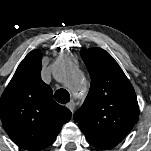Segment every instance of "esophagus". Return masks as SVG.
Returning <instances> with one entry per match:
<instances>
[{
    "label": "esophagus",
    "mask_w": 151,
    "mask_h": 151,
    "mask_svg": "<svg viewBox=\"0 0 151 151\" xmlns=\"http://www.w3.org/2000/svg\"><path fill=\"white\" fill-rule=\"evenodd\" d=\"M67 107L69 108V110L73 113L74 109H75V103L74 101H71L67 104Z\"/></svg>",
    "instance_id": "34e87169"
}]
</instances>
